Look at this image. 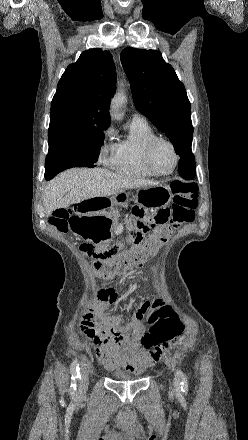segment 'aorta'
I'll return each instance as SVG.
<instances>
[{"label": "aorta", "mask_w": 248, "mask_h": 440, "mask_svg": "<svg viewBox=\"0 0 248 440\" xmlns=\"http://www.w3.org/2000/svg\"><path fill=\"white\" fill-rule=\"evenodd\" d=\"M125 100H126V97L122 91L116 93V95L112 99L111 115L115 119L122 118V114L120 113V108L125 103Z\"/></svg>", "instance_id": "obj_1"}]
</instances>
